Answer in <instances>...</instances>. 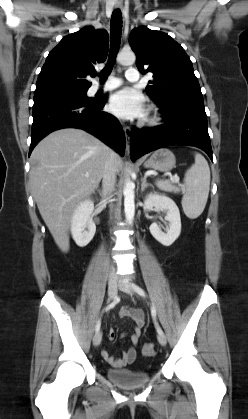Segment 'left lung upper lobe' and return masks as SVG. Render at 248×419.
Returning a JSON list of instances; mask_svg holds the SVG:
<instances>
[{
	"mask_svg": "<svg viewBox=\"0 0 248 419\" xmlns=\"http://www.w3.org/2000/svg\"><path fill=\"white\" fill-rule=\"evenodd\" d=\"M129 43L135 52L136 66L143 74L153 73L147 94L159 108L204 104L193 65L182 48L168 34L139 27L132 30Z\"/></svg>",
	"mask_w": 248,
	"mask_h": 419,
	"instance_id": "obj_1",
	"label": "left lung upper lobe"
}]
</instances>
